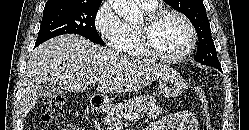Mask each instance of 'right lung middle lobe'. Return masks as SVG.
<instances>
[{
	"instance_id": "dd1d6c3e",
	"label": "right lung middle lobe",
	"mask_w": 249,
	"mask_h": 130,
	"mask_svg": "<svg viewBox=\"0 0 249 130\" xmlns=\"http://www.w3.org/2000/svg\"><path fill=\"white\" fill-rule=\"evenodd\" d=\"M101 3L58 1L45 5L35 46L62 34H79L91 42L104 45L97 33L95 18Z\"/></svg>"
}]
</instances>
